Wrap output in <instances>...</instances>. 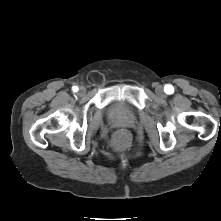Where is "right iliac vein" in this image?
Returning a JSON list of instances; mask_svg holds the SVG:
<instances>
[{
	"label": "right iliac vein",
	"mask_w": 221,
	"mask_h": 221,
	"mask_svg": "<svg viewBox=\"0 0 221 221\" xmlns=\"http://www.w3.org/2000/svg\"><path fill=\"white\" fill-rule=\"evenodd\" d=\"M85 92H86V90H85V88L84 87H81L80 89H79V95H84L85 94Z\"/></svg>",
	"instance_id": "obj_1"
}]
</instances>
